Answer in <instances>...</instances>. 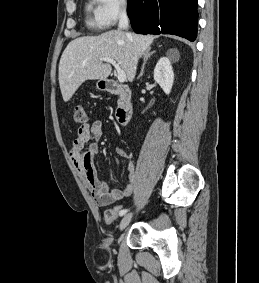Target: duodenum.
I'll return each mask as SVG.
<instances>
[{
    "label": "duodenum",
    "instance_id": "410a0bca",
    "mask_svg": "<svg viewBox=\"0 0 259 283\" xmlns=\"http://www.w3.org/2000/svg\"><path fill=\"white\" fill-rule=\"evenodd\" d=\"M104 88L107 93L117 95L119 97L116 117L120 124L126 125L131 119L133 113L131 90L125 85H122L113 80H107L105 82Z\"/></svg>",
    "mask_w": 259,
    "mask_h": 283
}]
</instances>
